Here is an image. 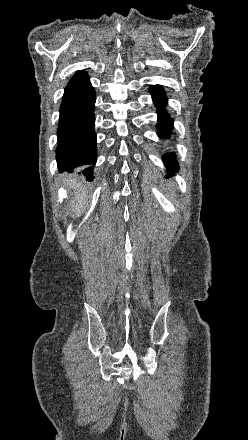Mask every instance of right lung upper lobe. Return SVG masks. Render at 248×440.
<instances>
[{"label":"right lung upper lobe","instance_id":"cb5924a9","mask_svg":"<svg viewBox=\"0 0 248 440\" xmlns=\"http://www.w3.org/2000/svg\"><path fill=\"white\" fill-rule=\"evenodd\" d=\"M89 80L88 74L85 71H77L76 74L69 81L68 87H74Z\"/></svg>","mask_w":248,"mask_h":440}]
</instances>
